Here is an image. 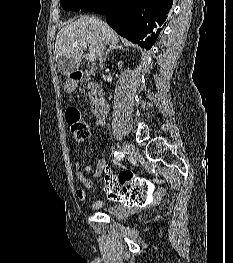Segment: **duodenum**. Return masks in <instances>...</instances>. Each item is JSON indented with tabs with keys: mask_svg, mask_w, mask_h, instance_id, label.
I'll return each mask as SVG.
<instances>
[{
	"mask_svg": "<svg viewBox=\"0 0 233 263\" xmlns=\"http://www.w3.org/2000/svg\"><path fill=\"white\" fill-rule=\"evenodd\" d=\"M87 74V71L84 70H77L75 71L71 78L74 82H79L82 78ZM88 97L92 100V112L98 118H104L107 116L109 112V104L104 99L103 90L99 89L98 87H91L88 90Z\"/></svg>",
	"mask_w": 233,
	"mask_h": 263,
	"instance_id": "obj_1",
	"label": "duodenum"
}]
</instances>
